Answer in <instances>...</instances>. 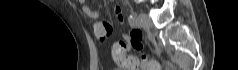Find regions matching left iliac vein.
Masks as SVG:
<instances>
[{"mask_svg":"<svg viewBox=\"0 0 238 70\" xmlns=\"http://www.w3.org/2000/svg\"><path fill=\"white\" fill-rule=\"evenodd\" d=\"M137 25L143 29H147L150 26V21L145 13H139L136 16Z\"/></svg>","mask_w":238,"mask_h":70,"instance_id":"1","label":"left iliac vein"}]
</instances>
